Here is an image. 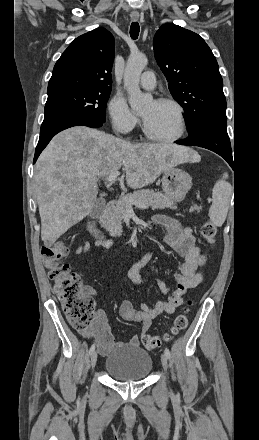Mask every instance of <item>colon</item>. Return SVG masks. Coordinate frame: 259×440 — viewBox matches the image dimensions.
<instances>
[{"mask_svg": "<svg viewBox=\"0 0 259 440\" xmlns=\"http://www.w3.org/2000/svg\"><path fill=\"white\" fill-rule=\"evenodd\" d=\"M201 234L208 243H214L217 234L216 226L211 221L204 222L201 226ZM41 253L69 323L79 330L88 328L94 320L95 303L84 289L80 276L72 272L65 262L69 253L67 246L62 242H56L43 246ZM187 311L188 308L174 319L170 332L163 336L144 335L142 338L144 346L149 350L157 349L164 341L170 340L184 330L188 325Z\"/></svg>", "mask_w": 259, "mask_h": 440, "instance_id": "colon-1", "label": "colon"}]
</instances>
